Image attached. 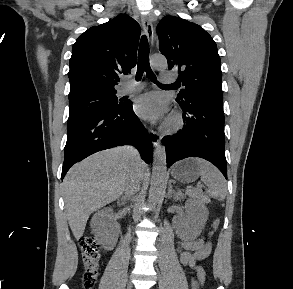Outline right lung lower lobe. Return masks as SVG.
<instances>
[{
  "instance_id": "98d812e1",
  "label": "right lung lower lobe",
  "mask_w": 293,
  "mask_h": 289,
  "mask_svg": "<svg viewBox=\"0 0 293 289\" xmlns=\"http://www.w3.org/2000/svg\"><path fill=\"white\" fill-rule=\"evenodd\" d=\"M132 144L142 159L152 158V140L132 109L131 102L123 107L85 117L67 124V142L62 168L63 179L76 162L89 155L119 145Z\"/></svg>"
}]
</instances>
